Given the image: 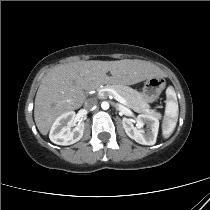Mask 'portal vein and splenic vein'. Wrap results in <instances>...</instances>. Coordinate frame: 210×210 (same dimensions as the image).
Listing matches in <instances>:
<instances>
[{
	"label": "portal vein and splenic vein",
	"mask_w": 210,
	"mask_h": 210,
	"mask_svg": "<svg viewBox=\"0 0 210 210\" xmlns=\"http://www.w3.org/2000/svg\"><path fill=\"white\" fill-rule=\"evenodd\" d=\"M105 91H107L109 94L113 95V97L120 103L122 104H126V100L121 96L119 95L115 90L113 89H105Z\"/></svg>",
	"instance_id": "18ae733b"
}]
</instances>
